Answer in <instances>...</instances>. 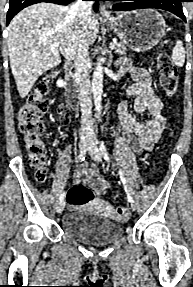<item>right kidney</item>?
I'll return each instance as SVG.
<instances>
[{"mask_svg": "<svg viewBox=\"0 0 193 287\" xmlns=\"http://www.w3.org/2000/svg\"><path fill=\"white\" fill-rule=\"evenodd\" d=\"M56 84H57V86L60 87V88H62V87L65 86V82H64L62 79H59Z\"/></svg>", "mask_w": 193, "mask_h": 287, "instance_id": "1", "label": "right kidney"}]
</instances>
